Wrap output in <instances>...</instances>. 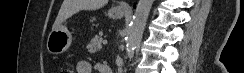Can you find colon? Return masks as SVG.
<instances>
[{
  "label": "colon",
  "instance_id": "colon-1",
  "mask_svg": "<svg viewBox=\"0 0 244 73\" xmlns=\"http://www.w3.org/2000/svg\"><path fill=\"white\" fill-rule=\"evenodd\" d=\"M60 73H73V71H72V68L70 67V66H63L62 68H61V71H60Z\"/></svg>",
  "mask_w": 244,
  "mask_h": 73
}]
</instances>
